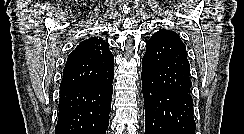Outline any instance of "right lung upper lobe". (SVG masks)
Returning a JSON list of instances; mask_svg holds the SVG:
<instances>
[{"instance_id": "1", "label": "right lung upper lobe", "mask_w": 244, "mask_h": 134, "mask_svg": "<svg viewBox=\"0 0 244 134\" xmlns=\"http://www.w3.org/2000/svg\"><path fill=\"white\" fill-rule=\"evenodd\" d=\"M113 64L107 42L98 37L86 39L69 54L60 90L102 82L114 74Z\"/></svg>"}]
</instances>
